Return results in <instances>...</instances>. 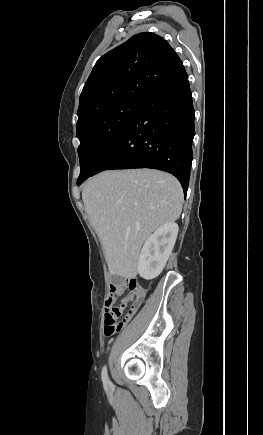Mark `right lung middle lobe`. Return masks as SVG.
I'll list each match as a JSON object with an SVG mask.
<instances>
[{
  "label": "right lung middle lobe",
  "instance_id": "obj_1",
  "mask_svg": "<svg viewBox=\"0 0 263 435\" xmlns=\"http://www.w3.org/2000/svg\"><path fill=\"white\" fill-rule=\"evenodd\" d=\"M144 101L123 99L90 112L77 126L81 172L77 181L93 175L117 143Z\"/></svg>",
  "mask_w": 263,
  "mask_h": 435
}]
</instances>
